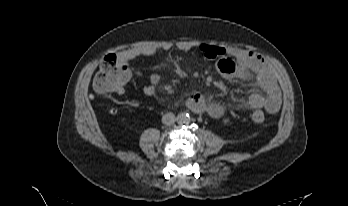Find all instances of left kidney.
<instances>
[{"label":"left kidney","instance_id":"1","mask_svg":"<svg viewBox=\"0 0 348 206\" xmlns=\"http://www.w3.org/2000/svg\"><path fill=\"white\" fill-rule=\"evenodd\" d=\"M223 122H224L225 124H228V123H230V120H229V119H223Z\"/></svg>","mask_w":348,"mask_h":206}]
</instances>
